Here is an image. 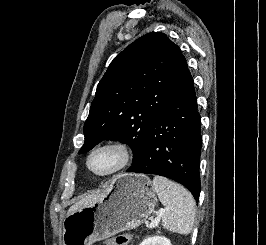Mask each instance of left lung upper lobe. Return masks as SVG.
I'll return each mask as SVG.
<instances>
[{"label": "left lung upper lobe", "instance_id": "obj_1", "mask_svg": "<svg viewBox=\"0 0 266 245\" xmlns=\"http://www.w3.org/2000/svg\"><path fill=\"white\" fill-rule=\"evenodd\" d=\"M180 48L160 32L138 38L111 62L99 82L84 124L79 154L120 140L140 158L147 131L187 70Z\"/></svg>", "mask_w": 266, "mask_h": 245}]
</instances>
